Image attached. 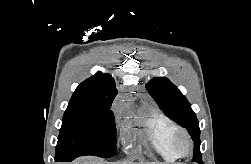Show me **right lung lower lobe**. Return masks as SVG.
I'll use <instances>...</instances> for the list:
<instances>
[{"instance_id": "right-lung-lower-lobe-1", "label": "right lung lower lobe", "mask_w": 251, "mask_h": 164, "mask_svg": "<svg viewBox=\"0 0 251 164\" xmlns=\"http://www.w3.org/2000/svg\"><path fill=\"white\" fill-rule=\"evenodd\" d=\"M73 159H74L73 157H59V158H55V161L56 162H70Z\"/></svg>"}]
</instances>
